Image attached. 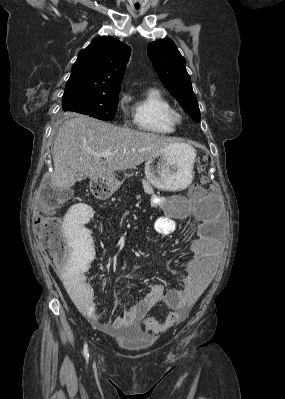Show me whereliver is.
Segmentation results:
<instances>
[{"label": "liver", "instance_id": "1", "mask_svg": "<svg viewBox=\"0 0 285 399\" xmlns=\"http://www.w3.org/2000/svg\"><path fill=\"white\" fill-rule=\"evenodd\" d=\"M176 144L163 135L75 115L63 123L55 138L51 187H73L78 173L96 179L134 168ZM106 151L111 152L108 158L94 155Z\"/></svg>", "mask_w": 285, "mask_h": 399}]
</instances>
